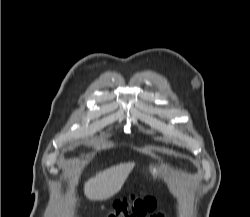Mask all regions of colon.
Instances as JSON below:
<instances>
[{"label":"colon","mask_w":250,"mask_h":217,"mask_svg":"<svg viewBox=\"0 0 250 217\" xmlns=\"http://www.w3.org/2000/svg\"><path fill=\"white\" fill-rule=\"evenodd\" d=\"M157 206V201L151 197L131 196L117 200L107 217H145L152 213ZM153 217H161L154 215Z\"/></svg>","instance_id":"5ec220e1"}]
</instances>
